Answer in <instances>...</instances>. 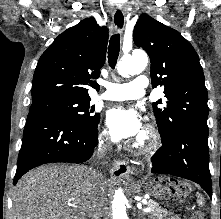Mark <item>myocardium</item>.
<instances>
[{"instance_id":"obj_1","label":"myocardium","mask_w":221,"mask_h":219,"mask_svg":"<svg viewBox=\"0 0 221 219\" xmlns=\"http://www.w3.org/2000/svg\"><path fill=\"white\" fill-rule=\"evenodd\" d=\"M160 137L157 130L152 127H146L137 139L130 142L129 148L139 154H148L155 151L159 145Z\"/></svg>"}]
</instances>
